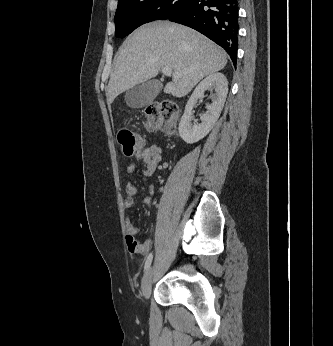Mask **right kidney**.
<instances>
[{"mask_svg": "<svg viewBox=\"0 0 333 346\" xmlns=\"http://www.w3.org/2000/svg\"><path fill=\"white\" fill-rule=\"evenodd\" d=\"M206 90L214 91L212 103L207 106V112L201 116L200 124H192V109L197 100L204 96ZM228 93V81L224 74L215 72L203 79L189 98L184 114L179 123V135L188 144L204 138L214 127L223 109Z\"/></svg>", "mask_w": 333, "mask_h": 346, "instance_id": "ca27d5eb", "label": "right kidney"}]
</instances>
